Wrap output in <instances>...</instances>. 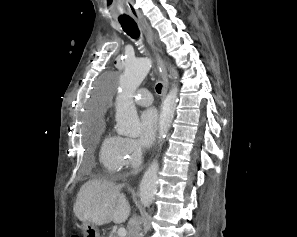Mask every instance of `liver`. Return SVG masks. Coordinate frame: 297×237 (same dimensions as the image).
Wrapping results in <instances>:
<instances>
[{
	"label": "liver",
	"mask_w": 297,
	"mask_h": 237,
	"mask_svg": "<svg viewBox=\"0 0 297 237\" xmlns=\"http://www.w3.org/2000/svg\"><path fill=\"white\" fill-rule=\"evenodd\" d=\"M121 186L101 180L86 182L77 194L73 211L83 222L98 226L114 222L124 223L130 214V205L121 192Z\"/></svg>",
	"instance_id": "6515ba94"
}]
</instances>
